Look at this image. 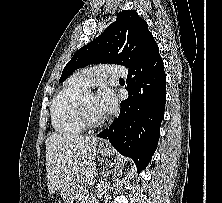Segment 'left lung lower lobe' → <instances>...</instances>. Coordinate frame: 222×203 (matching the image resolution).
<instances>
[{"label":"left lung lower lobe","instance_id":"left-lung-lower-lobe-1","mask_svg":"<svg viewBox=\"0 0 222 203\" xmlns=\"http://www.w3.org/2000/svg\"><path fill=\"white\" fill-rule=\"evenodd\" d=\"M126 90L118 118L97 136L108 138L115 149L144 169L154 154L166 101V75L153 35L147 37L137 61L128 68Z\"/></svg>","mask_w":222,"mask_h":203}]
</instances>
